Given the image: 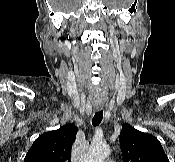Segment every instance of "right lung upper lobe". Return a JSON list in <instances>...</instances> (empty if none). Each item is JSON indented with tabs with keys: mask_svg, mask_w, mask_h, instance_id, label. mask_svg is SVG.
<instances>
[{
	"mask_svg": "<svg viewBox=\"0 0 175 162\" xmlns=\"http://www.w3.org/2000/svg\"><path fill=\"white\" fill-rule=\"evenodd\" d=\"M77 130L74 124H68L43 133L34 141L24 162H70Z\"/></svg>",
	"mask_w": 175,
	"mask_h": 162,
	"instance_id": "right-lung-upper-lobe-1",
	"label": "right lung upper lobe"
}]
</instances>
